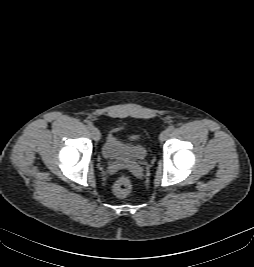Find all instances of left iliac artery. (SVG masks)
Segmentation results:
<instances>
[{"label": "left iliac artery", "mask_w": 254, "mask_h": 267, "mask_svg": "<svg viewBox=\"0 0 254 267\" xmlns=\"http://www.w3.org/2000/svg\"><path fill=\"white\" fill-rule=\"evenodd\" d=\"M174 129H175V126H173V125L169 126V128H168L169 131H173Z\"/></svg>", "instance_id": "44dca946"}]
</instances>
